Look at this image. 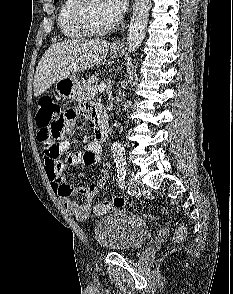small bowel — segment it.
<instances>
[{"label":"small bowel","mask_w":233,"mask_h":294,"mask_svg":"<svg viewBox=\"0 0 233 294\" xmlns=\"http://www.w3.org/2000/svg\"><path fill=\"white\" fill-rule=\"evenodd\" d=\"M95 107L76 104L75 108H58L57 120H51L50 126H45V131L48 132H38L44 153V168L51 187L65 209L79 221H85L89 217L95 197L109 180V174L104 172L95 183L75 189L63 177L67 165L92 166L101 162L102 146L97 138L89 142L82 151L68 152L70 144L67 137L72 136L70 127L75 126L79 116L87 118L89 125L95 129ZM75 192L85 197L83 204H78L71 198Z\"/></svg>","instance_id":"c3829d8e"}]
</instances>
